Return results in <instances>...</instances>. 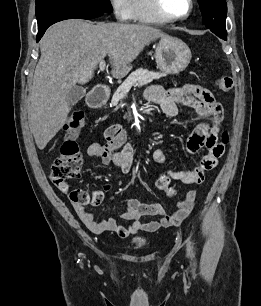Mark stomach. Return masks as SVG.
<instances>
[{
    "mask_svg": "<svg viewBox=\"0 0 261 306\" xmlns=\"http://www.w3.org/2000/svg\"><path fill=\"white\" fill-rule=\"evenodd\" d=\"M191 57L189 47L182 40L171 36L162 37L155 51L158 68L169 74L184 71Z\"/></svg>",
    "mask_w": 261,
    "mask_h": 306,
    "instance_id": "obj_1",
    "label": "stomach"
}]
</instances>
